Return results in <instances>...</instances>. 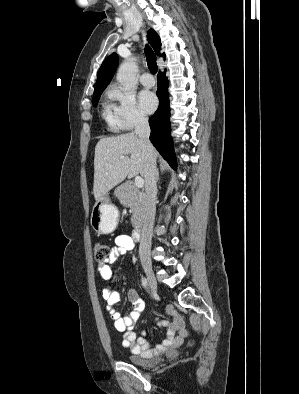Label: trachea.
Instances as JSON below:
<instances>
[{
    "mask_svg": "<svg viewBox=\"0 0 299 394\" xmlns=\"http://www.w3.org/2000/svg\"><path fill=\"white\" fill-rule=\"evenodd\" d=\"M145 55H146L149 70L153 74L157 73L158 67L156 64V56L153 53V51L151 50V48L148 46H146V48H145Z\"/></svg>",
    "mask_w": 299,
    "mask_h": 394,
    "instance_id": "trachea-1",
    "label": "trachea"
}]
</instances>
